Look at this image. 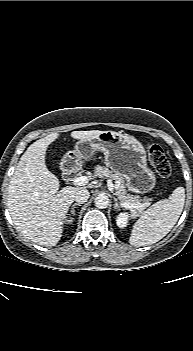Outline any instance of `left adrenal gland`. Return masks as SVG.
<instances>
[{"label":"left adrenal gland","mask_w":193,"mask_h":351,"mask_svg":"<svg viewBox=\"0 0 193 351\" xmlns=\"http://www.w3.org/2000/svg\"><path fill=\"white\" fill-rule=\"evenodd\" d=\"M114 198V209H118L119 207H120V205H119V202H118V200H117V198H115V197H113Z\"/></svg>","instance_id":"obj_1"}]
</instances>
